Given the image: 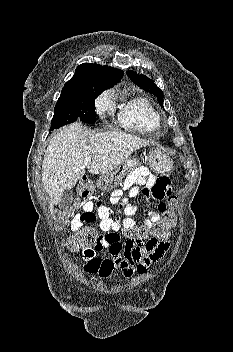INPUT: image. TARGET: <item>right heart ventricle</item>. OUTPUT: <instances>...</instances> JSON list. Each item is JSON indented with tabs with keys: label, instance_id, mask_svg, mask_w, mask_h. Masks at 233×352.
I'll return each mask as SVG.
<instances>
[{
	"label": "right heart ventricle",
	"instance_id": "1",
	"mask_svg": "<svg viewBox=\"0 0 233 352\" xmlns=\"http://www.w3.org/2000/svg\"><path fill=\"white\" fill-rule=\"evenodd\" d=\"M118 121L127 131L150 134L160 127V116L151 102L136 95L126 100L119 109Z\"/></svg>",
	"mask_w": 233,
	"mask_h": 352
}]
</instances>
